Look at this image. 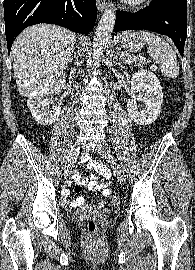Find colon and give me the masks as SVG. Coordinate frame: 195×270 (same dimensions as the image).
<instances>
[{
  "label": "colon",
  "instance_id": "1",
  "mask_svg": "<svg viewBox=\"0 0 195 270\" xmlns=\"http://www.w3.org/2000/svg\"><path fill=\"white\" fill-rule=\"evenodd\" d=\"M111 202H112L113 205H117L120 202V198L118 196H114L112 198V201ZM87 229L91 233H95L97 231L98 224H97V222H96L95 219H93V218L88 219V221H87Z\"/></svg>",
  "mask_w": 195,
  "mask_h": 270
}]
</instances>
